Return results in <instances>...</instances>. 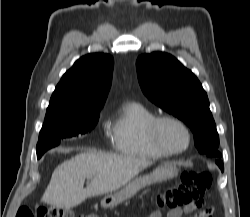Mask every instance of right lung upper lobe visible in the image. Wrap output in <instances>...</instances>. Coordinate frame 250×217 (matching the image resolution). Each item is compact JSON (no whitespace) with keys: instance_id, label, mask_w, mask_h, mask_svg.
<instances>
[{"instance_id":"obj_1","label":"right lung upper lobe","mask_w":250,"mask_h":217,"mask_svg":"<svg viewBox=\"0 0 250 217\" xmlns=\"http://www.w3.org/2000/svg\"><path fill=\"white\" fill-rule=\"evenodd\" d=\"M113 62L104 53L78 59L56 86L45 118L101 110L110 89Z\"/></svg>"}]
</instances>
